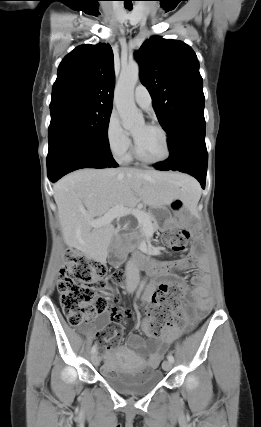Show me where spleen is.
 Returning <instances> with one entry per match:
<instances>
[{
    "mask_svg": "<svg viewBox=\"0 0 261 427\" xmlns=\"http://www.w3.org/2000/svg\"><path fill=\"white\" fill-rule=\"evenodd\" d=\"M187 193L189 194V196L191 198V204L195 205L201 196V190H200L199 185L197 183L192 184L187 189Z\"/></svg>",
    "mask_w": 261,
    "mask_h": 427,
    "instance_id": "spleen-1",
    "label": "spleen"
}]
</instances>
